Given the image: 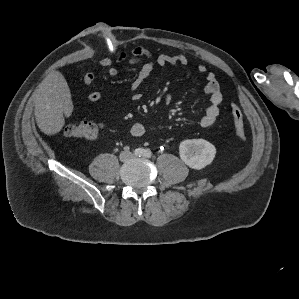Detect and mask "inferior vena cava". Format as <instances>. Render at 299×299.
<instances>
[{
  "instance_id": "602c4592",
  "label": "inferior vena cava",
  "mask_w": 299,
  "mask_h": 299,
  "mask_svg": "<svg viewBox=\"0 0 299 299\" xmlns=\"http://www.w3.org/2000/svg\"><path fill=\"white\" fill-rule=\"evenodd\" d=\"M130 156H132V154L123 152V153H121L120 158H121V160H125L127 157H130Z\"/></svg>"
}]
</instances>
